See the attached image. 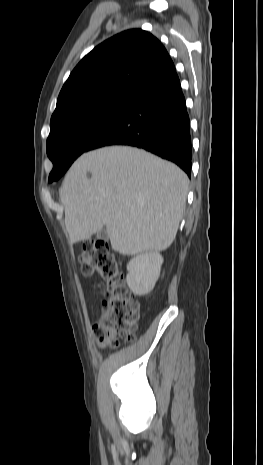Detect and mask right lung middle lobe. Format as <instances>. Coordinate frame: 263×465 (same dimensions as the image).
Instances as JSON below:
<instances>
[{
    "label": "right lung middle lobe",
    "mask_w": 263,
    "mask_h": 465,
    "mask_svg": "<svg viewBox=\"0 0 263 465\" xmlns=\"http://www.w3.org/2000/svg\"><path fill=\"white\" fill-rule=\"evenodd\" d=\"M134 97L110 96L72 107L51 119L47 155L53 162L49 182L58 180L73 161L130 107Z\"/></svg>",
    "instance_id": "right-lung-middle-lobe-1"
}]
</instances>
